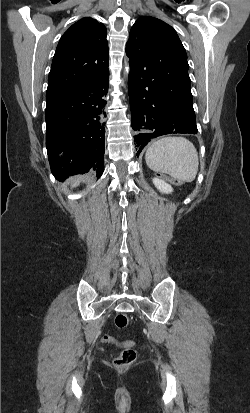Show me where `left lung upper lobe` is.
<instances>
[{"instance_id": "obj_1", "label": "left lung upper lobe", "mask_w": 250, "mask_h": 413, "mask_svg": "<svg viewBox=\"0 0 250 413\" xmlns=\"http://www.w3.org/2000/svg\"><path fill=\"white\" fill-rule=\"evenodd\" d=\"M149 41V61L153 71H164L190 80L186 51L171 26L154 17H140L130 30L126 51H132Z\"/></svg>"}]
</instances>
